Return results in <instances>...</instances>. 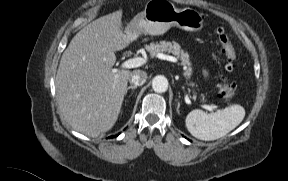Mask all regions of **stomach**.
<instances>
[{"mask_svg":"<svg viewBox=\"0 0 288 181\" xmlns=\"http://www.w3.org/2000/svg\"><path fill=\"white\" fill-rule=\"evenodd\" d=\"M203 25L202 15L192 8L177 9L169 0H149L127 29L136 35H161L173 26L194 32L201 30Z\"/></svg>","mask_w":288,"mask_h":181,"instance_id":"obj_1","label":"stomach"}]
</instances>
